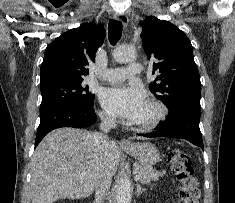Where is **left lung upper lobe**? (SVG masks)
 I'll use <instances>...</instances> for the list:
<instances>
[{"instance_id":"1","label":"left lung upper lobe","mask_w":235,"mask_h":203,"mask_svg":"<svg viewBox=\"0 0 235 203\" xmlns=\"http://www.w3.org/2000/svg\"><path fill=\"white\" fill-rule=\"evenodd\" d=\"M143 49L160 73L149 88L169 109H201V82L188 37L172 23L149 16L141 22ZM154 73V72H153ZM158 81V83H155Z\"/></svg>"}]
</instances>
